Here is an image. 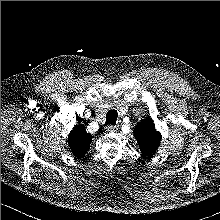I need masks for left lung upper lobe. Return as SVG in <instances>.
Returning <instances> with one entry per match:
<instances>
[{"label": "left lung upper lobe", "instance_id": "1", "mask_svg": "<svg viewBox=\"0 0 220 220\" xmlns=\"http://www.w3.org/2000/svg\"><path fill=\"white\" fill-rule=\"evenodd\" d=\"M133 132L142 156L144 158H151L161 141V134L156 131L153 120L147 117L137 124Z\"/></svg>", "mask_w": 220, "mask_h": 220}]
</instances>
